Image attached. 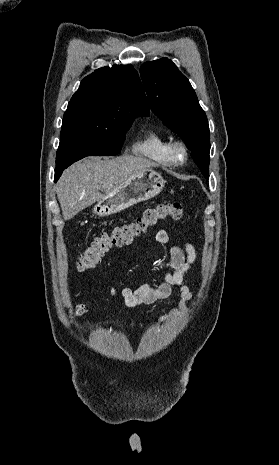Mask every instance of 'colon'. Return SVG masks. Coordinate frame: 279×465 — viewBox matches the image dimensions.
<instances>
[{
	"instance_id": "1",
	"label": "colon",
	"mask_w": 279,
	"mask_h": 465,
	"mask_svg": "<svg viewBox=\"0 0 279 465\" xmlns=\"http://www.w3.org/2000/svg\"><path fill=\"white\" fill-rule=\"evenodd\" d=\"M182 216L183 206L178 202L161 203L146 209L132 222L117 226L94 238L79 255L76 263L77 269L85 271L95 267L110 248L130 244L158 221L168 217L179 220Z\"/></svg>"
}]
</instances>
